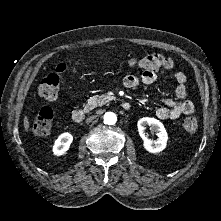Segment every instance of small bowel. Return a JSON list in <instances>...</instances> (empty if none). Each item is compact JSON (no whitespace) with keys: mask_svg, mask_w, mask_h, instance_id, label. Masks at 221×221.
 <instances>
[{"mask_svg":"<svg viewBox=\"0 0 221 221\" xmlns=\"http://www.w3.org/2000/svg\"><path fill=\"white\" fill-rule=\"evenodd\" d=\"M176 82L175 97L163 100V106L157 108L154 116L159 120L177 119L183 115H192L195 106L191 100L187 98V75L182 71H176L173 74ZM155 73L145 71L141 77L129 74L123 78L122 84L125 88L133 89L141 84H150L156 80Z\"/></svg>","mask_w":221,"mask_h":221,"instance_id":"obj_1","label":"small bowel"}]
</instances>
